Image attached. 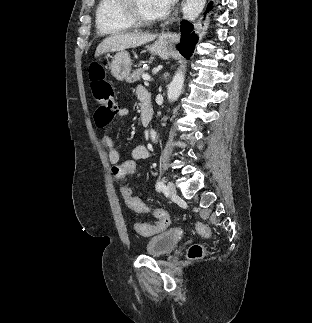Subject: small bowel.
<instances>
[{"instance_id":"1","label":"small bowel","mask_w":312,"mask_h":323,"mask_svg":"<svg viewBox=\"0 0 312 323\" xmlns=\"http://www.w3.org/2000/svg\"><path fill=\"white\" fill-rule=\"evenodd\" d=\"M145 94L146 92H144L143 90H139L138 97L142 100ZM129 112L130 111L127 107H121L118 109L116 117L117 118L126 117L129 115ZM104 131H105V134L101 139V144L105 148H107V157H108L109 163L113 167L115 164H122L120 162V153L114 148V142L112 138L106 134L108 131V128H105ZM152 155H153V151L148 146H145V145H138L134 147L131 151L132 158H137V160H147V159H150ZM127 208L130 209V206H127ZM147 211H150V210H146V214H147Z\"/></svg>"}]
</instances>
